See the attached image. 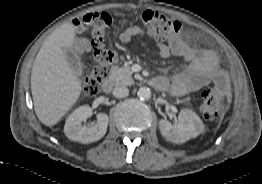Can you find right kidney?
Masks as SVG:
<instances>
[{
    "label": "right kidney",
    "mask_w": 262,
    "mask_h": 184,
    "mask_svg": "<svg viewBox=\"0 0 262 184\" xmlns=\"http://www.w3.org/2000/svg\"><path fill=\"white\" fill-rule=\"evenodd\" d=\"M91 115L92 109L88 105L82 106L70 114L64 126V133L67 138L83 144L101 139L107 130L108 115L99 113L97 122L92 127L82 125V122L86 121Z\"/></svg>",
    "instance_id": "right-kidney-1"
}]
</instances>
